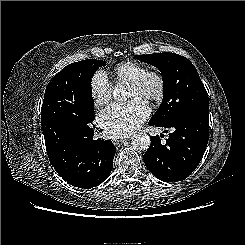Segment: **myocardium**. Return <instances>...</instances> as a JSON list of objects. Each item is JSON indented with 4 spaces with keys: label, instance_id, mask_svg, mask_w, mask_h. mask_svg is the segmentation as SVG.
<instances>
[{
    "label": "myocardium",
    "instance_id": "f54148a6",
    "mask_svg": "<svg viewBox=\"0 0 245 245\" xmlns=\"http://www.w3.org/2000/svg\"><path fill=\"white\" fill-rule=\"evenodd\" d=\"M151 83H153L152 88L149 87ZM128 84L140 91L141 97L149 101H159L165 92V79L159 71L155 70H147Z\"/></svg>",
    "mask_w": 245,
    "mask_h": 245
}]
</instances>
